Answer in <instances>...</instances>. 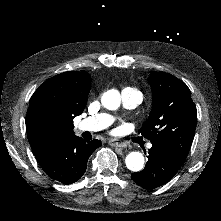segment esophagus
Listing matches in <instances>:
<instances>
[{"mask_svg":"<svg viewBox=\"0 0 221 221\" xmlns=\"http://www.w3.org/2000/svg\"><path fill=\"white\" fill-rule=\"evenodd\" d=\"M108 144L113 147H126V144L118 139H111L108 141Z\"/></svg>","mask_w":221,"mask_h":221,"instance_id":"34e87169","label":"esophagus"}]
</instances>
